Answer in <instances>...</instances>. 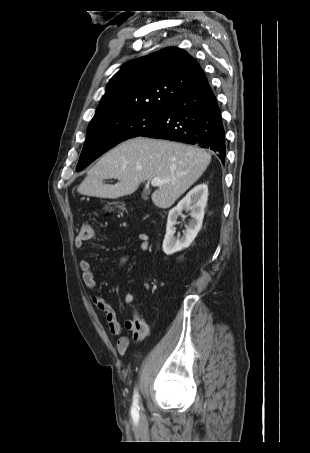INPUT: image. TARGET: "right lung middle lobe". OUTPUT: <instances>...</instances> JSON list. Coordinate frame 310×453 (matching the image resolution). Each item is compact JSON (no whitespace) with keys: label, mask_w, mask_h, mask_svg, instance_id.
I'll use <instances>...</instances> for the list:
<instances>
[{"label":"right lung middle lobe","mask_w":310,"mask_h":453,"mask_svg":"<svg viewBox=\"0 0 310 453\" xmlns=\"http://www.w3.org/2000/svg\"><path fill=\"white\" fill-rule=\"evenodd\" d=\"M160 111H132L110 114L90 122L76 171L82 170L106 151L137 137L162 116Z\"/></svg>","instance_id":"right-lung-middle-lobe-1"}]
</instances>
